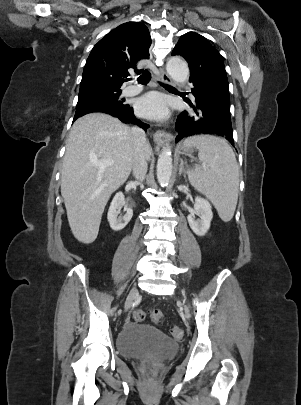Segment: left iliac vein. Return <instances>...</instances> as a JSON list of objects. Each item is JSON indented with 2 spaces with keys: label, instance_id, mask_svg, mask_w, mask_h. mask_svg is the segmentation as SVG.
I'll return each mask as SVG.
<instances>
[{
  "label": "left iliac vein",
  "instance_id": "left-iliac-vein-1",
  "mask_svg": "<svg viewBox=\"0 0 301 405\" xmlns=\"http://www.w3.org/2000/svg\"><path fill=\"white\" fill-rule=\"evenodd\" d=\"M185 315H186L187 318L190 317V313H189L188 307H185Z\"/></svg>",
  "mask_w": 301,
  "mask_h": 405
}]
</instances>
